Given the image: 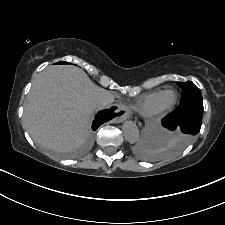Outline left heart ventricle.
<instances>
[{
  "label": "left heart ventricle",
  "mask_w": 225,
  "mask_h": 225,
  "mask_svg": "<svg viewBox=\"0 0 225 225\" xmlns=\"http://www.w3.org/2000/svg\"><path fill=\"white\" fill-rule=\"evenodd\" d=\"M173 98H174V95L172 93H168L162 98V102L169 103L173 100Z\"/></svg>",
  "instance_id": "b2bd125f"
}]
</instances>
